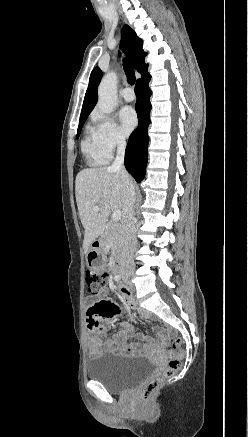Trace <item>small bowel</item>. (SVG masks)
Segmentation results:
<instances>
[{"mask_svg": "<svg viewBox=\"0 0 248 437\" xmlns=\"http://www.w3.org/2000/svg\"><path fill=\"white\" fill-rule=\"evenodd\" d=\"M120 292L124 300L131 304L129 291L120 286ZM84 305L86 306L85 315L87 316V328L90 332L89 337V356L94 358L106 350L117 354H141L155 351L158 345L149 340L144 334L137 333L134 328L122 323L120 327L112 334H109L103 323H108L119 311L118 306L114 303L113 298H109L107 291H100L98 294H86ZM100 336L102 338H100ZM161 341H165L164 334L160 333ZM129 338L146 341L144 345L139 343H129Z\"/></svg>", "mask_w": 248, "mask_h": 437, "instance_id": "obj_1", "label": "small bowel"}]
</instances>
